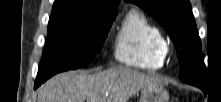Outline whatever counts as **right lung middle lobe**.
<instances>
[{"label": "right lung middle lobe", "instance_id": "1", "mask_svg": "<svg viewBox=\"0 0 221 102\" xmlns=\"http://www.w3.org/2000/svg\"><path fill=\"white\" fill-rule=\"evenodd\" d=\"M117 12L51 14L36 81L90 63L101 50Z\"/></svg>", "mask_w": 221, "mask_h": 102}]
</instances>
